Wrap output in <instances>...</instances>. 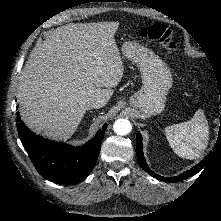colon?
Returning <instances> with one entry per match:
<instances>
[{
	"instance_id": "colon-1",
	"label": "colon",
	"mask_w": 221,
	"mask_h": 221,
	"mask_svg": "<svg viewBox=\"0 0 221 221\" xmlns=\"http://www.w3.org/2000/svg\"><path fill=\"white\" fill-rule=\"evenodd\" d=\"M139 35L143 39H148L161 44L170 52H176L178 48V42L174 31L162 24H153L147 27H142L139 30ZM197 86H199V83H197Z\"/></svg>"
}]
</instances>
